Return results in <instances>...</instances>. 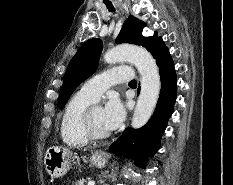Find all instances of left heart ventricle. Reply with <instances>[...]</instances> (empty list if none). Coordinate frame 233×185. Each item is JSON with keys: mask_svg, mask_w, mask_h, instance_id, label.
<instances>
[{"mask_svg": "<svg viewBox=\"0 0 233 185\" xmlns=\"http://www.w3.org/2000/svg\"><path fill=\"white\" fill-rule=\"evenodd\" d=\"M91 119H92L93 127L97 132L105 133L109 131L104 124L103 112L100 106L95 107L93 109Z\"/></svg>", "mask_w": 233, "mask_h": 185, "instance_id": "left-heart-ventricle-1", "label": "left heart ventricle"}]
</instances>
